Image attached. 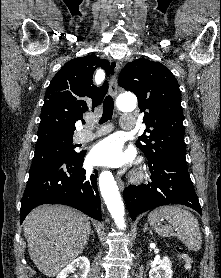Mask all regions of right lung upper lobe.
Listing matches in <instances>:
<instances>
[{"instance_id": "1", "label": "right lung upper lobe", "mask_w": 221, "mask_h": 278, "mask_svg": "<svg viewBox=\"0 0 221 278\" xmlns=\"http://www.w3.org/2000/svg\"><path fill=\"white\" fill-rule=\"evenodd\" d=\"M98 67L108 74L107 60L88 55L70 60L57 72L44 97L37 143L73 136L82 114L101 104L108 83L94 86L92 77Z\"/></svg>"}]
</instances>
